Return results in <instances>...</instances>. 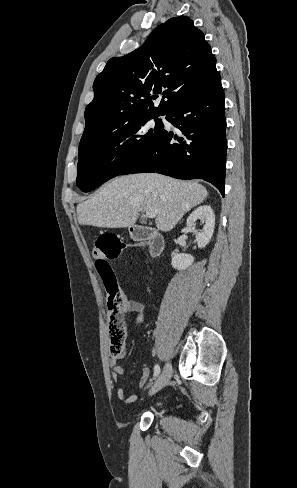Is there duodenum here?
<instances>
[{"label":"duodenum","mask_w":297,"mask_h":488,"mask_svg":"<svg viewBox=\"0 0 297 488\" xmlns=\"http://www.w3.org/2000/svg\"><path fill=\"white\" fill-rule=\"evenodd\" d=\"M131 234L136 241H146L149 245V253L152 257H157L163 250L164 241L162 236L150 228L134 226Z\"/></svg>","instance_id":"410a0bca"}]
</instances>
